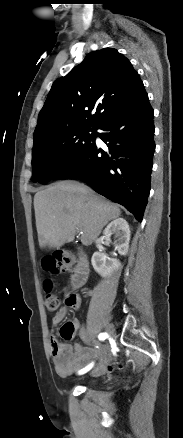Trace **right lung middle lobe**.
<instances>
[{
	"label": "right lung middle lobe",
	"mask_w": 183,
	"mask_h": 438,
	"mask_svg": "<svg viewBox=\"0 0 183 438\" xmlns=\"http://www.w3.org/2000/svg\"><path fill=\"white\" fill-rule=\"evenodd\" d=\"M97 127H78L34 140L32 178L42 184L54 179L75 157L95 140Z\"/></svg>",
	"instance_id": "dd1d6c3e"
}]
</instances>
